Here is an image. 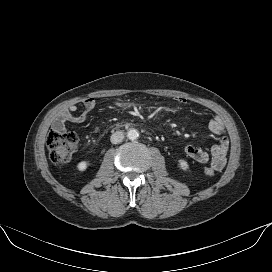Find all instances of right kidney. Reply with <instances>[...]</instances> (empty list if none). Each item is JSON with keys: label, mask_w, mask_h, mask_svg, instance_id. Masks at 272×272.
Instances as JSON below:
<instances>
[{"label": "right kidney", "mask_w": 272, "mask_h": 272, "mask_svg": "<svg viewBox=\"0 0 272 272\" xmlns=\"http://www.w3.org/2000/svg\"><path fill=\"white\" fill-rule=\"evenodd\" d=\"M88 167V162L87 161H81L77 164V169L81 172L85 171Z\"/></svg>", "instance_id": "obj_1"}]
</instances>
